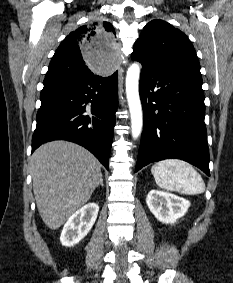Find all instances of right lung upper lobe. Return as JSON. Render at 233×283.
<instances>
[{
    "mask_svg": "<svg viewBox=\"0 0 233 283\" xmlns=\"http://www.w3.org/2000/svg\"><path fill=\"white\" fill-rule=\"evenodd\" d=\"M118 38L111 23L98 21L71 32L52 57L45 79L90 76L97 70H113L117 59ZM97 59V60H88Z\"/></svg>",
    "mask_w": 233,
    "mask_h": 283,
    "instance_id": "1",
    "label": "right lung upper lobe"
}]
</instances>
